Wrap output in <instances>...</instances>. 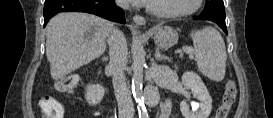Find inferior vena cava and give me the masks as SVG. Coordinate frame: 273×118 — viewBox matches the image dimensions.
Here are the masks:
<instances>
[{
    "mask_svg": "<svg viewBox=\"0 0 273 118\" xmlns=\"http://www.w3.org/2000/svg\"><path fill=\"white\" fill-rule=\"evenodd\" d=\"M117 4L124 9L128 7L125 0H118ZM107 42L110 55L108 69L113 74V87L118 102L119 117L132 118L134 106L124 76L128 54L126 39L120 30L112 27Z\"/></svg>",
    "mask_w": 273,
    "mask_h": 118,
    "instance_id": "obj_1",
    "label": "inferior vena cava"
}]
</instances>
